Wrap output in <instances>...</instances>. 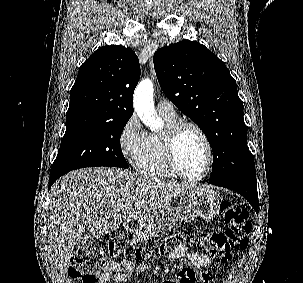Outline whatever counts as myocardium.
I'll return each instance as SVG.
<instances>
[{
    "label": "myocardium",
    "mask_w": 303,
    "mask_h": 283,
    "mask_svg": "<svg viewBox=\"0 0 303 283\" xmlns=\"http://www.w3.org/2000/svg\"><path fill=\"white\" fill-rule=\"evenodd\" d=\"M186 128L194 130L200 136L207 151V165L204 172L199 176L193 177L186 175L178 164L176 152L177 141L182 130ZM162 141L167 164L177 177L186 181L196 182L204 179L210 173L214 163L213 147L206 133L197 124L190 121H176L165 128L162 133Z\"/></svg>",
    "instance_id": "f54148a6"
}]
</instances>
